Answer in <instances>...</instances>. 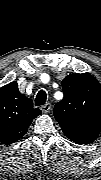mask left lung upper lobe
Instances as JSON below:
<instances>
[{"instance_id":"obj_1","label":"left lung upper lobe","mask_w":101,"mask_h":180,"mask_svg":"<svg viewBox=\"0 0 101 180\" xmlns=\"http://www.w3.org/2000/svg\"><path fill=\"white\" fill-rule=\"evenodd\" d=\"M64 98L53 113L65 135L89 144L101 131V85L91 74H70L62 81Z\"/></svg>"}]
</instances>
